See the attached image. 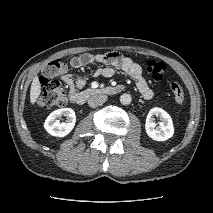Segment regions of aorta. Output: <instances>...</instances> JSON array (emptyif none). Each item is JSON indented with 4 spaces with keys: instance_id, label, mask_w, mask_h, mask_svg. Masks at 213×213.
<instances>
[{
    "instance_id": "obj_1",
    "label": "aorta",
    "mask_w": 213,
    "mask_h": 213,
    "mask_svg": "<svg viewBox=\"0 0 213 213\" xmlns=\"http://www.w3.org/2000/svg\"><path fill=\"white\" fill-rule=\"evenodd\" d=\"M131 101H132V98L129 94L124 93L120 96V102L123 105H129Z\"/></svg>"
}]
</instances>
